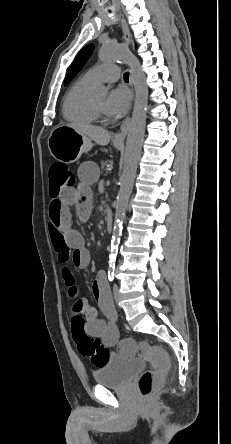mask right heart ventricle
<instances>
[{"label":"right heart ventricle","mask_w":231,"mask_h":444,"mask_svg":"<svg viewBox=\"0 0 231 444\" xmlns=\"http://www.w3.org/2000/svg\"><path fill=\"white\" fill-rule=\"evenodd\" d=\"M94 83L85 77L78 79L68 90L63 101V116L72 123L91 124L97 119L88 91Z\"/></svg>","instance_id":"e07e8e85"}]
</instances>
